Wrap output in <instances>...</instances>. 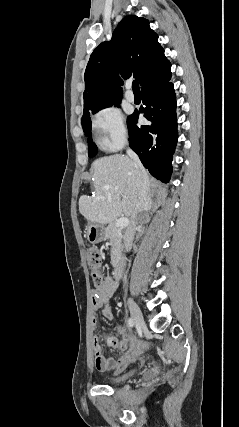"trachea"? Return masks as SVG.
Listing matches in <instances>:
<instances>
[{
	"instance_id": "obj_1",
	"label": "trachea",
	"mask_w": 239,
	"mask_h": 427,
	"mask_svg": "<svg viewBox=\"0 0 239 427\" xmlns=\"http://www.w3.org/2000/svg\"><path fill=\"white\" fill-rule=\"evenodd\" d=\"M132 89H133V92H140V88H139V84H138V81L137 80H134L133 81V83H132Z\"/></svg>"
}]
</instances>
